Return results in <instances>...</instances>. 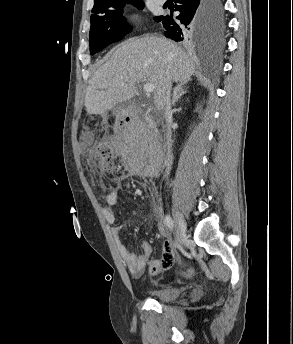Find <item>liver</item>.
<instances>
[{"instance_id": "6515ba94", "label": "liver", "mask_w": 293, "mask_h": 344, "mask_svg": "<svg viewBox=\"0 0 293 344\" xmlns=\"http://www.w3.org/2000/svg\"><path fill=\"white\" fill-rule=\"evenodd\" d=\"M194 73L191 56L171 40L155 35L128 40L117 47L90 79L85 95L86 111L105 114L133 98L142 82L154 85V104L162 110L161 95L167 81H189Z\"/></svg>"}]
</instances>
